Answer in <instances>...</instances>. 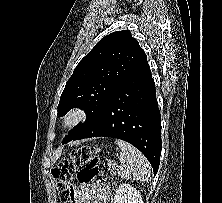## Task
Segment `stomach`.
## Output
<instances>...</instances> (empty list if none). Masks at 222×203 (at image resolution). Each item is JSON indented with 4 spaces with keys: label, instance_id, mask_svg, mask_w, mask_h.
I'll list each match as a JSON object with an SVG mask.
<instances>
[{
    "label": "stomach",
    "instance_id": "obj_1",
    "mask_svg": "<svg viewBox=\"0 0 222 203\" xmlns=\"http://www.w3.org/2000/svg\"><path fill=\"white\" fill-rule=\"evenodd\" d=\"M101 149L100 148H95V152H100Z\"/></svg>",
    "mask_w": 222,
    "mask_h": 203
}]
</instances>
